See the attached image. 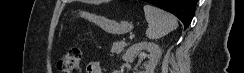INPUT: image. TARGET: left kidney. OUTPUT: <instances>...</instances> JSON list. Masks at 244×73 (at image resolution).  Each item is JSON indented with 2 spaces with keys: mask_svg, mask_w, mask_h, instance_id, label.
I'll return each mask as SVG.
<instances>
[{
  "mask_svg": "<svg viewBox=\"0 0 244 73\" xmlns=\"http://www.w3.org/2000/svg\"><path fill=\"white\" fill-rule=\"evenodd\" d=\"M144 51H147L149 53V61L147 62V64L144 65V70L139 71L138 73H154L155 67L162 55L160 47L155 43L142 41L132 45L123 55V60H133L135 56L143 54Z\"/></svg>",
  "mask_w": 244,
  "mask_h": 73,
  "instance_id": "5707ae66",
  "label": "left kidney"
}]
</instances>
